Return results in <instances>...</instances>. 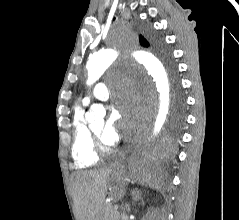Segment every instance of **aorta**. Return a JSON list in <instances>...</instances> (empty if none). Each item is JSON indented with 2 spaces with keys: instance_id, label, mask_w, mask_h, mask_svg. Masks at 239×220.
Listing matches in <instances>:
<instances>
[{
  "instance_id": "762f6f07",
  "label": "aorta",
  "mask_w": 239,
  "mask_h": 220,
  "mask_svg": "<svg viewBox=\"0 0 239 220\" xmlns=\"http://www.w3.org/2000/svg\"><path fill=\"white\" fill-rule=\"evenodd\" d=\"M118 40H124L122 33H117ZM129 45H112L109 48L101 50L89 57L87 62L88 84L98 80L105 70L117 59L118 53H114V48H122ZM135 52V57L131 60L137 61V65H143L149 77L154 82L159 93V109L153 123L152 137H157L163 130L164 123L167 120L170 105V84L167 71L163 63L151 51H123ZM105 109L93 104L87 114L88 120L101 119L105 116Z\"/></svg>"
}]
</instances>
